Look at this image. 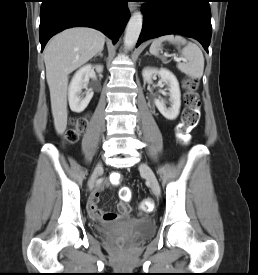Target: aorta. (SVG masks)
Returning a JSON list of instances; mask_svg holds the SVG:
<instances>
[{
	"mask_svg": "<svg viewBox=\"0 0 258 275\" xmlns=\"http://www.w3.org/2000/svg\"><path fill=\"white\" fill-rule=\"evenodd\" d=\"M143 24V15L141 12H135L126 28L125 37H124V44L128 48H132L140 35L141 29Z\"/></svg>",
	"mask_w": 258,
	"mask_h": 275,
	"instance_id": "1",
	"label": "aorta"
}]
</instances>
